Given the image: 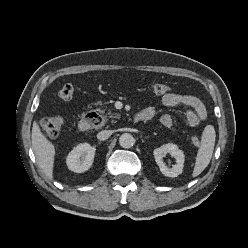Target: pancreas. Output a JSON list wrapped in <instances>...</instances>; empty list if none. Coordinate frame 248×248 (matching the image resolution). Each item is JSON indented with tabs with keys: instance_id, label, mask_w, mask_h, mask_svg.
Listing matches in <instances>:
<instances>
[{
	"instance_id": "1",
	"label": "pancreas",
	"mask_w": 248,
	"mask_h": 248,
	"mask_svg": "<svg viewBox=\"0 0 248 248\" xmlns=\"http://www.w3.org/2000/svg\"><path fill=\"white\" fill-rule=\"evenodd\" d=\"M109 115H110L109 116L110 118H112V117H118V114L117 113H113V114L109 113ZM106 120H107V118L105 116H103L102 124H104Z\"/></svg>"
}]
</instances>
